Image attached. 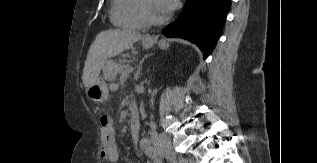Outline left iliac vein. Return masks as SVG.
I'll list each match as a JSON object with an SVG mask.
<instances>
[{"instance_id":"4c4485c4","label":"left iliac vein","mask_w":317,"mask_h":163,"mask_svg":"<svg viewBox=\"0 0 317 163\" xmlns=\"http://www.w3.org/2000/svg\"><path fill=\"white\" fill-rule=\"evenodd\" d=\"M169 151H170V152L168 153L169 159H170V160H173V161H171V163H195V162H193L192 160L177 161V160L175 159V157L173 156L172 151H171V150H169Z\"/></svg>"}]
</instances>
